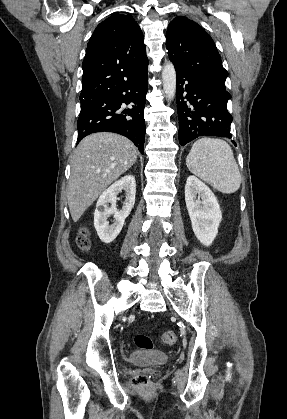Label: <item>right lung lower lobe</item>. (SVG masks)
<instances>
[{
	"label": "right lung lower lobe",
	"instance_id": "obj_1",
	"mask_svg": "<svg viewBox=\"0 0 287 419\" xmlns=\"http://www.w3.org/2000/svg\"><path fill=\"white\" fill-rule=\"evenodd\" d=\"M147 80L146 72L136 80L82 105L77 122V141L95 132H114L129 138L143 153ZM123 104H130L131 107L123 109Z\"/></svg>",
	"mask_w": 287,
	"mask_h": 419
}]
</instances>
